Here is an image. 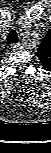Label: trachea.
<instances>
[{
  "mask_svg": "<svg viewBox=\"0 0 51 153\" xmlns=\"http://www.w3.org/2000/svg\"><path fill=\"white\" fill-rule=\"evenodd\" d=\"M7 42L8 44H16L18 43V35L15 30H12L8 35H7Z\"/></svg>",
  "mask_w": 51,
  "mask_h": 153,
  "instance_id": "1",
  "label": "trachea"
}]
</instances>
